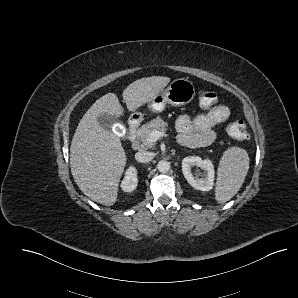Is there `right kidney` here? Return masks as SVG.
<instances>
[{"label":"right kidney","mask_w":298,"mask_h":298,"mask_svg":"<svg viewBox=\"0 0 298 298\" xmlns=\"http://www.w3.org/2000/svg\"><path fill=\"white\" fill-rule=\"evenodd\" d=\"M138 170L134 164H129L124 171V177L120 182V189L123 192L132 193L138 184Z\"/></svg>","instance_id":"1"}]
</instances>
